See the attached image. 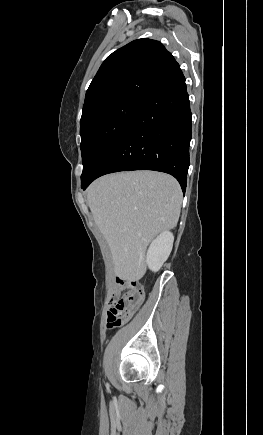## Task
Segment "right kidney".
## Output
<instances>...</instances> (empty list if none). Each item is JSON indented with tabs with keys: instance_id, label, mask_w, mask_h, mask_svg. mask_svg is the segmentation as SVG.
<instances>
[{
	"instance_id": "right-kidney-1",
	"label": "right kidney",
	"mask_w": 263,
	"mask_h": 435,
	"mask_svg": "<svg viewBox=\"0 0 263 435\" xmlns=\"http://www.w3.org/2000/svg\"><path fill=\"white\" fill-rule=\"evenodd\" d=\"M174 242L170 231H163L150 244L147 252L146 263L150 270L157 272L169 257Z\"/></svg>"
}]
</instances>
